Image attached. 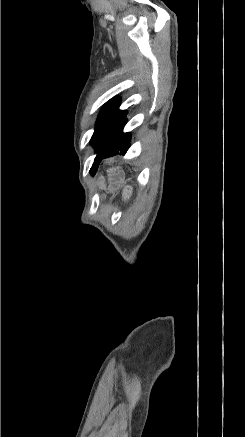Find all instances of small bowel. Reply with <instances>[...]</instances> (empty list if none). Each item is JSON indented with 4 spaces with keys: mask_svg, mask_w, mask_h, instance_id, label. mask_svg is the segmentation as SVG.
<instances>
[{
    "mask_svg": "<svg viewBox=\"0 0 245 437\" xmlns=\"http://www.w3.org/2000/svg\"><path fill=\"white\" fill-rule=\"evenodd\" d=\"M94 177H95L97 180H101V179L104 177V174H103L101 171H97V172L94 174Z\"/></svg>",
    "mask_w": 245,
    "mask_h": 437,
    "instance_id": "c3829d8e",
    "label": "small bowel"
}]
</instances>
